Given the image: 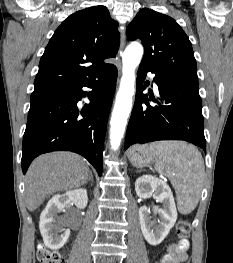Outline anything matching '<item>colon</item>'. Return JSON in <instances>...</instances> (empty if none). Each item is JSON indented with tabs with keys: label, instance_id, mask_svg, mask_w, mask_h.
Masks as SVG:
<instances>
[{
	"label": "colon",
	"instance_id": "1",
	"mask_svg": "<svg viewBox=\"0 0 233 263\" xmlns=\"http://www.w3.org/2000/svg\"><path fill=\"white\" fill-rule=\"evenodd\" d=\"M176 233L179 239H187L190 234L189 221L181 219L177 223ZM36 256L39 263H63L62 257L58 251L52 250L43 244H39Z\"/></svg>",
	"mask_w": 233,
	"mask_h": 263
}]
</instances>
